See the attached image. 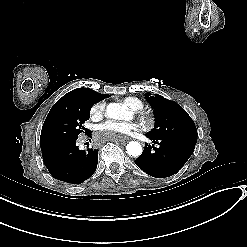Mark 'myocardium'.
Returning <instances> with one entry per match:
<instances>
[{"mask_svg": "<svg viewBox=\"0 0 247 247\" xmlns=\"http://www.w3.org/2000/svg\"><path fill=\"white\" fill-rule=\"evenodd\" d=\"M140 124L145 131H149L153 128L155 123V116L151 111L141 110L140 111Z\"/></svg>", "mask_w": 247, "mask_h": 247, "instance_id": "1", "label": "myocardium"}]
</instances>
